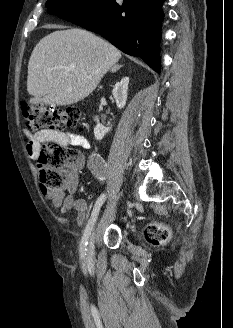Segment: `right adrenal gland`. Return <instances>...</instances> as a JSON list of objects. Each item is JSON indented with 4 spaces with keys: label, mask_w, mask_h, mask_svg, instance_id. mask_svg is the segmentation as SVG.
I'll list each match as a JSON object with an SVG mask.
<instances>
[{
    "label": "right adrenal gland",
    "mask_w": 233,
    "mask_h": 328,
    "mask_svg": "<svg viewBox=\"0 0 233 328\" xmlns=\"http://www.w3.org/2000/svg\"><path fill=\"white\" fill-rule=\"evenodd\" d=\"M122 67V65H115L114 67H112L111 72H116L117 70H119Z\"/></svg>",
    "instance_id": "obj_1"
}]
</instances>
